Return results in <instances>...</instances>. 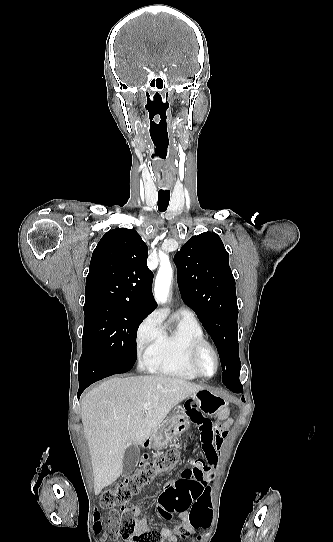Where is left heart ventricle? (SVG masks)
Here are the masks:
<instances>
[{
	"instance_id": "obj_1",
	"label": "left heart ventricle",
	"mask_w": 333,
	"mask_h": 542,
	"mask_svg": "<svg viewBox=\"0 0 333 542\" xmlns=\"http://www.w3.org/2000/svg\"><path fill=\"white\" fill-rule=\"evenodd\" d=\"M199 368L205 375H211L215 370V362L212 354L208 350H204L198 360Z\"/></svg>"
}]
</instances>
